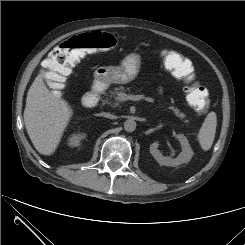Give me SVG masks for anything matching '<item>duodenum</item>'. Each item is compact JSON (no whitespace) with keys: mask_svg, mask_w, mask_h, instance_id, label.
<instances>
[{"mask_svg":"<svg viewBox=\"0 0 245 245\" xmlns=\"http://www.w3.org/2000/svg\"><path fill=\"white\" fill-rule=\"evenodd\" d=\"M103 84L100 81H95L92 85V88L89 92L84 94L82 97V105L84 107L90 108L96 105V103L99 101L100 95L103 92Z\"/></svg>","mask_w":245,"mask_h":245,"instance_id":"obj_1","label":"duodenum"}]
</instances>
